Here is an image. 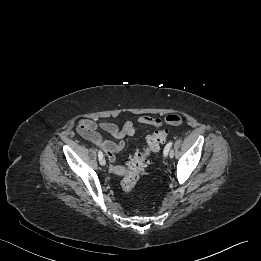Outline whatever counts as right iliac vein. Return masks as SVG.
Instances as JSON below:
<instances>
[{"instance_id":"1","label":"right iliac vein","mask_w":261,"mask_h":261,"mask_svg":"<svg viewBox=\"0 0 261 261\" xmlns=\"http://www.w3.org/2000/svg\"><path fill=\"white\" fill-rule=\"evenodd\" d=\"M99 163L102 165V166H105L106 165V161L104 158H99Z\"/></svg>"}]
</instances>
